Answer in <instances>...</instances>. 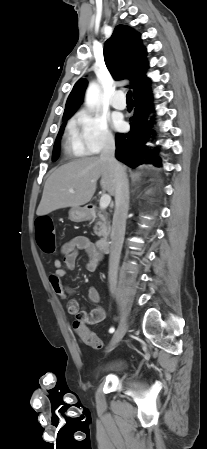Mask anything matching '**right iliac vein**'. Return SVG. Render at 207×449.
I'll list each match as a JSON object with an SVG mask.
<instances>
[{
	"instance_id": "63e3f726",
	"label": "right iliac vein",
	"mask_w": 207,
	"mask_h": 449,
	"mask_svg": "<svg viewBox=\"0 0 207 449\" xmlns=\"http://www.w3.org/2000/svg\"><path fill=\"white\" fill-rule=\"evenodd\" d=\"M127 330V324L125 321H122L118 327V329L116 330V332L114 333L111 342H110V346H109V351L112 350V348L121 341V339L124 337L125 333Z\"/></svg>"
}]
</instances>
